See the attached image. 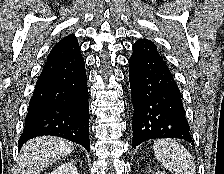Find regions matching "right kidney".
Here are the masks:
<instances>
[{
  "label": "right kidney",
  "instance_id": "right-kidney-1",
  "mask_svg": "<svg viewBox=\"0 0 224 174\" xmlns=\"http://www.w3.org/2000/svg\"><path fill=\"white\" fill-rule=\"evenodd\" d=\"M49 174H79L73 161L65 162L59 165L54 171Z\"/></svg>",
  "mask_w": 224,
  "mask_h": 174
}]
</instances>
